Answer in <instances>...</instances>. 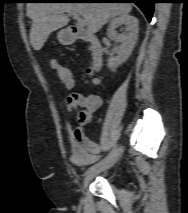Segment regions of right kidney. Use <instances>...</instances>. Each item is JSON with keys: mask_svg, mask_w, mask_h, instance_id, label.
Returning a JSON list of instances; mask_svg holds the SVG:
<instances>
[{"mask_svg": "<svg viewBox=\"0 0 188 213\" xmlns=\"http://www.w3.org/2000/svg\"><path fill=\"white\" fill-rule=\"evenodd\" d=\"M123 25L126 27L127 33L118 34L116 29ZM138 31V19L132 15L122 14L111 20L107 29V35L111 40L120 43L117 56L108 59V68L111 71L116 70L130 57L138 39Z\"/></svg>", "mask_w": 188, "mask_h": 213, "instance_id": "right-kidney-1", "label": "right kidney"}]
</instances>
